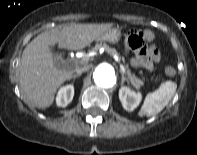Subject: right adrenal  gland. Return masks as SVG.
<instances>
[{"label": "right adrenal gland", "instance_id": "2a0ac1e0", "mask_svg": "<svg viewBox=\"0 0 197 155\" xmlns=\"http://www.w3.org/2000/svg\"><path fill=\"white\" fill-rule=\"evenodd\" d=\"M77 77H80V74H74L71 79H76Z\"/></svg>", "mask_w": 197, "mask_h": 155}]
</instances>
